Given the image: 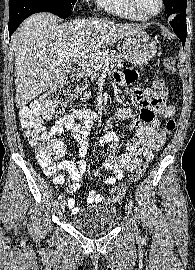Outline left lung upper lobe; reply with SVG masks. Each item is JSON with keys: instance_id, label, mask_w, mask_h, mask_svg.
<instances>
[{"instance_id": "5c2ea615", "label": "left lung upper lobe", "mask_w": 195, "mask_h": 270, "mask_svg": "<svg viewBox=\"0 0 195 270\" xmlns=\"http://www.w3.org/2000/svg\"><path fill=\"white\" fill-rule=\"evenodd\" d=\"M164 5L168 18L176 14H186L187 0H164Z\"/></svg>"}]
</instances>
